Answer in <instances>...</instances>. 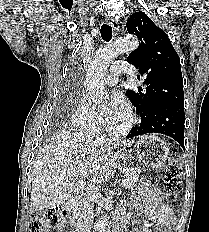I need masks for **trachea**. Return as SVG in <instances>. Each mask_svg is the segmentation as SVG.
<instances>
[{"label": "trachea", "mask_w": 209, "mask_h": 232, "mask_svg": "<svg viewBox=\"0 0 209 232\" xmlns=\"http://www.w3.org/2000/svg\"><path fill=\"white\" fill-rule=\"evenodd\" d=\"M100 32L104 41L109 42L112 39V27L110 25L103 24Z\"/></svg>", "instance_id": "1"}]
</instances>
